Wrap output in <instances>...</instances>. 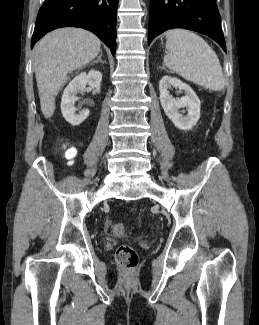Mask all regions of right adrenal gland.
Returning <instances> with one entry per match:
<instances>
[{"label":"right adrenal gland","instance_id":"2a0ac1e0","mask_svg":"<svg viewBox=\"0 0 259 325\" xmlns=\"http://www.w3.org/2000/svg\"><path fill=\"white\" fill-rule=\"evenodd\" d=\"M101 57H102V50L100 51V55L98 56L97 60L93 61L90 65H93L95 63H103V61L101 60Z\"/></svg>","mask_w":259,"mask_h":325}]
</instances>
